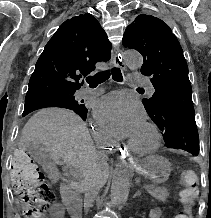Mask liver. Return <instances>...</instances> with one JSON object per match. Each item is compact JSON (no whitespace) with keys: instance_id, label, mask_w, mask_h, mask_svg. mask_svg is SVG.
<instances>
[{"instance_id":"liver-1","label":"liver","mask_w":211,"mask_h":218,"mask_svg":"<svg viewBox=\"0 0 211 218\" xmlns=\"http://www.w3.org/2000/svg\"><path fill=\"white\" fill-rule=\"evenodd\" d=\"M21 136V146L25 142L42 146L55 162L64 160L68 166L79 168L81 178L84 172H90L102 176L106 182L108 166L105 158L97 154L85 122L74 112L62 108L39 110L25 124Z\"/></svg>"}]
</instances>
